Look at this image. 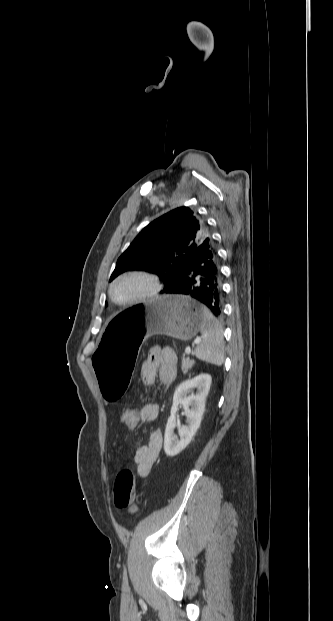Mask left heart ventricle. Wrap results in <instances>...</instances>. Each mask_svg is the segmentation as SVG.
<instances>
[{
  "label": "left heart ventricle",
  "mask_w": 333,
  "mask_h": 621,
  "mask_svg": "<svg viewBox=\"0 0 333 621\" xmlns=\"http://www.w3.org/2000/svg\"><path fill=\"white\" fill-rule=\"evenodd\" d=\"M148 289L149 283L145 279L129 277L117 282L113 292L117 300L126 301L142 295Z\"/></svg>",
  "instance_id": "obj_1"
}]
</instances>
